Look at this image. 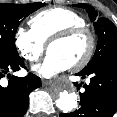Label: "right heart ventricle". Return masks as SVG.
<instances>
[{
    "label": "right heart ventricle",
    "instance_id": "obj_1",
    "mask_svg": "<svg viewBox=\"0 0 117 117\" xmlns=\"http://www.w3.org/2000/svg\"><path fill=\"white\" fill-rule=\"evenodd\" d=\"M33 32L44 43L61 31L71 27L86 26V21L78 12L65 7L44 9L29 20Z\"/></svg>",
    "mask_w": 117,
    "mask_h": 117
}]
</instances>
